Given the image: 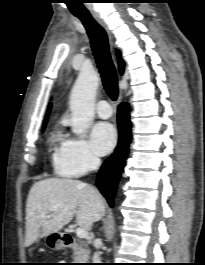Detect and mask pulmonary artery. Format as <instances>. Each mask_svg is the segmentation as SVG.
Returning <instances> with one entry per match:
<instances>
[{"instance_id": "pulmonary-artery-1", "label": "pulmonary artery", "mask_w": 205, "mask_h": 265, "mask_svg": "<svg viewBox=\"0 0 205 265\" xmlns=\"http://www.w3.org/2000/svg\"><path fill=\"white\" fill-rule=\"evenodd\" d=\"M96 112L103 119H107L112 115L111 106L106 100H101L97 103Z\"/></svg>"}]
</instances>
